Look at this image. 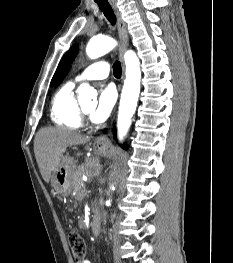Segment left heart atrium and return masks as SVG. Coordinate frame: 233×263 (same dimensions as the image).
<instances>
[{
	"label": "left heart atrium",
	"instance_id": "1",
	"mask_svg": "<svg viewBox=\"0 0 233 263\" xmlns=\"http://www.w3.org/2000/svg\"><path fill=\"white\" fill-rule=\"evenodd\" d=\"M116 101V92L113 86L107 85L100 89L96 106L92 109L90 116L94 123H102L110 115Z\"/></svg>",
	"mask_w": 233,
	"mask_h": 263
}]
</instances>
